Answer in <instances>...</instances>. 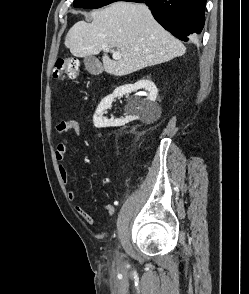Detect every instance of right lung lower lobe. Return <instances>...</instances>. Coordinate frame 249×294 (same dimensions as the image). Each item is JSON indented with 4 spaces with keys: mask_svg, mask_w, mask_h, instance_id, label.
I'll return each mask as SVG.
<instances>
[{
    "mask_svg": "<svg viewBox=\"0 0 249 294\" xmlns=\"http://www.w3.org/2000/svg\"><path fill=\"white\" fill-rule=\"evenodd\" d=\"M145 3L156 21L183 41H197L205 23L207 0H118Z\"/></svg>",
    "mask_w": 249,
    "mask_h": 294,
    "instance_id": "right-lung-lower-lobe-1",
    "label": "right lung lower lobe"
}]
</instances>
